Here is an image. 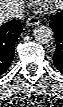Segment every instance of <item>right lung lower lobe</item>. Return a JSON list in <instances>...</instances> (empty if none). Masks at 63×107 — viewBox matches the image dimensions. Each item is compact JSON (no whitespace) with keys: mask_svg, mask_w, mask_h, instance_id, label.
Here are the masks:
<instances>
[{"mask_svg":"<svg viewBox=\"0 0 63 107\" xmlns=\"http://www.w3.org/2000/svg\"><path fill=\"white\" fill-rule=\"evenodd\" d=\"M22 31L19 20L0 26V75L7 71L13 60L15 43Z\"/></svg>","mask_w":63,"mask_h":107,"instance_id":"1","label":"right lung lower lobe"}]
</instances>
